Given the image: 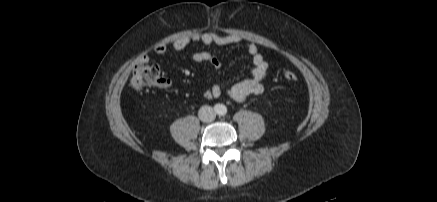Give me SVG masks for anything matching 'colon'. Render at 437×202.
Wrapping results in <instances>:
<instances>
[{"label":"colon","instance_id":"obj_1","mask_svg":"<svg viewBox=\"0 0 437 202\" xmlns=\"http://www.w3.org/2000/svg\"><path fill=\"white\" fill-rule=\"evenodd\" d=\"M283 77L289 82L298 79L297 75L292 71H285ZM164 81L165 78L162 76L161 70L157 65L140 62L133 70L130 84L134 90L141 91L155 86H162Z\"/></svg>","mask_w":437,"mask_h":202}]
</instances>
